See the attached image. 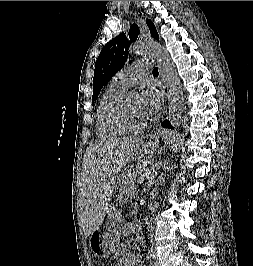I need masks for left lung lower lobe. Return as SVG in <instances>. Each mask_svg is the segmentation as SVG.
Returning a JSON list of instances; mask_svg holds the SVG:
<instances>
[{"label":"left lung lower lobe","mask_w":253,"mask_h":266,"mask_svg":"<svg viewBox=\"0 0 253 266\" xmlns=\"http://www.w3.org/2000/svg\"><path fill=\"white\" fill-rule=\"evenodd\" d=\"M161 125L165 128H172V125L169 120H164Z\"/></svg>","instance_id":"left-lung-lower-lobe-1"}]
</instances>
